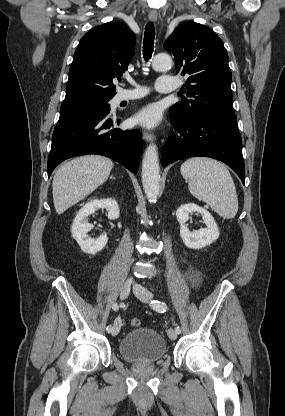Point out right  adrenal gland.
I'll use <instances>...</instances> for the list:
<instances>
[{
	"mask_svg": "<svg viewBox=\"0 0 285 416\" xmlns=\"http://www.w3.org/2000/svg\"><path fill=\"white\" fill-rule=\"evenodd\" d=\"M111 180H116V178H113V176H111Z\"/></svg>",
	"mask_w": 285,
	"mask_h": 416,
	"instance_id": "obj_1",
	"label": "right adrenal gland"
}]
</instances>
